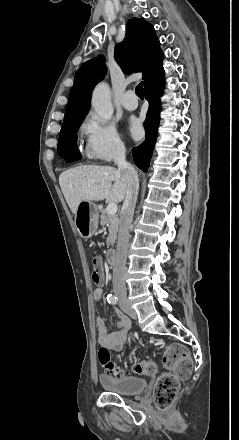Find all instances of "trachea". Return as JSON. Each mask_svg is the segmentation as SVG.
I'll list each match as a JSON object with an SVG mask.
<instances>
[{"label": "trachea", "mask_w": 239, "mask_h": 440, "mask_svg": "<svg viewBox=\"0 0 239 440\" xmlns=\"http://www.w3.org/2000/svg\"><path fill=\"white\" fill-rule=\"evenodd\" d=\"M135 93H136V95H137L139 98H141V99L144 98L143 82H140V83L137 85V87H136V89H135Z\"/></svg>", "instance_id": "1"}]
</instances>
